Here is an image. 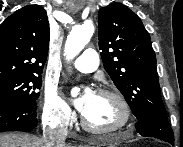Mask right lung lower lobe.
Wrapping results in <instances>:
<instances>
[{"label": "right lung lower lobe", "mask_w": 183, "mask_h": 147, "mask_svg": "<svg viewBox=\"0 0 183 147\" xmlns=\"http://www.w3.org/2000/svg\"><path fill=\"white\" fill-rule=\"evenodd\" d=\"M37 104L31 100L0 102V132L30 131L37 126Z\"/></svg>", "instance_id": "obj_1"}]
</instances>
